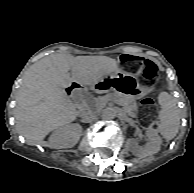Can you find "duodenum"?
<instances>
[{
	"instance_id": "obj_1",
	"label": "duodenum",
	"mask_w": 194,
	"mask_h": 193,
	"mask_svg": "<svg viewBox=\"0 0 194 193\" xmlns=\"http://www.w3.org/2000/svg\"><path fill=\"white\" fill-rule=\"evenodd\" d=\"M75 87H76V84H72V85L70 86L69 90H74ZM78 109H79L80 111H83V110H84L83 104H82L81 102H78Z\"/></svg>"
}]
</instances>
